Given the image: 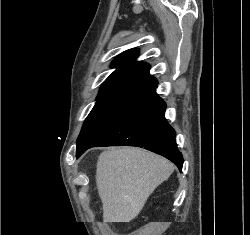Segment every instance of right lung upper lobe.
I'll list each match as a JSON object with an SVG mask.
<instances>
[{
    "label": "right lung upper lobe",
    "mask_w": 250,
    "mask_h": 235,
    "mask_svg": "<svg viewBox=\"0 0 250 235\" xmlns=\"http://www.w3.org/2000/svg\"><path fill=\"white\" fill-rule=\"evenodd\" d=\"M138 50L121 53L112 62L117 68L102 84L98 97H132L156 79L149 74L150 65L136 61Z\"/></svg>",
    "instance_id": "cb5924a9"
}]
</instances>
